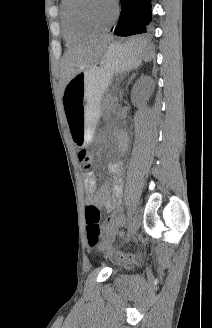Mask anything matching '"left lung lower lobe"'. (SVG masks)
I'll return each mask as SVG.
<instances>
[{"mask_svg":"<svg viewBox=\"0 0 212 328\" xmlns=\"http://www.w3.org/2000/svg\"><path fill=\"white\" fill-rule=\"evenodd\" d=\"M151 0H121V14L113 32L119 36H130L146 32L151 22ZM146 41H136L132 47H145Z\"/></svg>","mask_w":212,"mask_h":328,"instance_id":"obj_1","label":"left lung lower lobe"}]
</instances>
